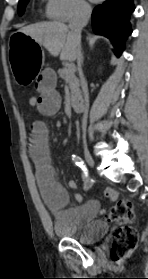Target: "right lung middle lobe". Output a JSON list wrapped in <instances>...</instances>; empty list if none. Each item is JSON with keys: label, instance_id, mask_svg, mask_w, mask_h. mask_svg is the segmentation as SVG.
<instances>
[{"label": "right lung middle lobe", "instance_id": "right-lung-middle-lobe-1", "mask_svg": "<svg viewBox=\"0 0 148 279\" xmlns=\"http://www.w3.org/2000/svg\"><path fill=\"white\" fill-rule=\"evenodd\" d=\"M29 0H20L18 4V13L22 15Z\"/></svg>", "mask_w": 148, "mask_h": 279}]
</instances>
